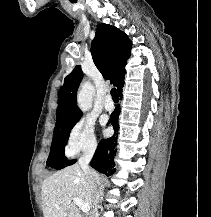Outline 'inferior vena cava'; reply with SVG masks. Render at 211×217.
Here are the masks:
<instances>
[{
	"label": "inferior vena cava",
	"instance_id": "1",
	"mask_svg": "<svg viewBox=\"0 0 211 217\" xmlns=\"http://www.w3.org/2000/svg\"><path fill=\"white\" fill-rule=\"evenodd\" d=\"M94 152H95V147H91L87 151H85L84 154L78 160L81 169L83 170V172L85 173V175L88 177L90 181V189L92 193L93 203H92V208L89 217H98V203L100 198V191L97 189V186L91 175V170L89 168V162L92 159Z\"/></svg>",
	"mask_w": 211,
	"mask_h": 217
}]
</instances>
